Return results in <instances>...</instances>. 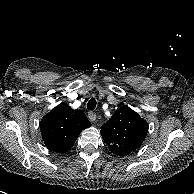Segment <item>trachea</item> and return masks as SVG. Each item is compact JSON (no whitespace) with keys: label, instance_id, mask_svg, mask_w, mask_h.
<instances>
[{"label":"trachea","instance_id":"trachea-1","mask_svg":"<svg viewBox=\"0 0 194 194\" xmlns=\"http://www.w3.org/2000/svg\"><path fill=\"white\" fill-rule=\"evenodd\" d=\"M96 104H97V102H96L95 98H91L89 100V102L87 103V109L94 110L96 107Z\"/></svg>","mask_w":194,"mask_h":194}]
</instances>
